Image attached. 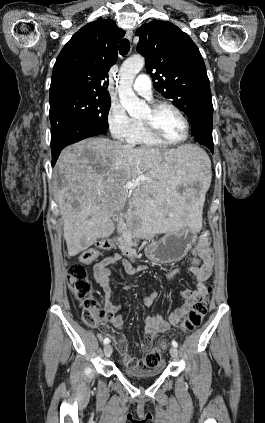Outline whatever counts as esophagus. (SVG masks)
<instances>
[{
  "instance_id": "34e87169",
  "label": "esophagus",
  "mask_w": 265,
  "mask_h": 423,
  "mask_svg": "<svg viewBox=\"0 0 265 423\" xmlns=\"http://www.w3.org/2000/svg\"><path fill=\"white\" fill-rule=\"evenodd\" d=\"M132 37H133V31L132 30H127L126 31V38L128 39V40H131L132 39Z\"/></svg>"
}]
</instances>
